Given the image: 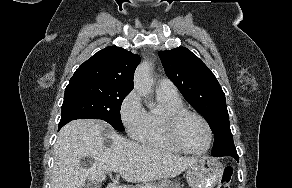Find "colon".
I'll use <instances>...</instances> for the list:
<instances>
[{"mask_svg":"<svg viewBox=\"0 0 292 188\" xmlns=\"http://www.w3.org/2000/svg\"><path fill=\"white\" fill-rule=\"evenodd\" d=\"M233 179V168L232 167H225L222 175L221 180L217 188H230Z\"/></svg>","mask_w":292,"mask_h":188,"instance_id":"5ec220e1","label":"colon"}]
</instances>
